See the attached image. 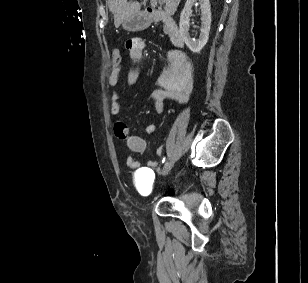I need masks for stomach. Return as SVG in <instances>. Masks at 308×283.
Returning <instances> with one entry per match:
<instances>
[{
    "label": "stomach",
    "instance_id": "obj_1",
    "mask_svg": "<svg viewBox=\"0 0 308 283\" xmlns=\"http://www.w3.org/2000/svg\"><path fill=\"white\" fill-rule=\"evenodd\" d=\"M150 25L149 17L142 12L132 15L126 18L122 22L123 29L131 32L141 31L146 29Z\"/></svg>",
    "mask_w": 308,
    "mask_h": 283
}]
</instances>
